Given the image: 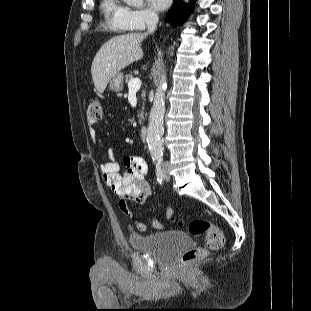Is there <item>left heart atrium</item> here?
I'll return each instance as SVG.
<instances>
[{"mask_svg": "<svg viewBox=\"0 0 311 311\" xmlns=\"http://www.w3.org/2000/svg\"><path fill=\"white\" fill-rule=\"evenodd\" d=\"M151 4V6L157 10H163L165 8H167L170 3L171 0H148Z\"/></svg>", "mask_w": 311, "mask_h": 311, "instance_id": "obj_1", "label": "left heart atrium"}]
</instances>
